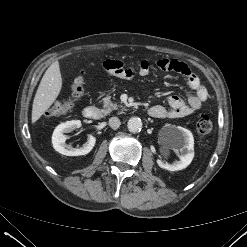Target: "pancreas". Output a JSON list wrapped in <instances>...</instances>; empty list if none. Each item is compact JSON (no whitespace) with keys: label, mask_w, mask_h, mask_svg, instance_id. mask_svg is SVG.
I'll use <instances>...</instances> for the list:
<instances>
[{"label":"pancreas","mask_w":247,"mask_h":247,"mask_svg":"<svg viewBox=\"0 0 247 247\" xmlns=\"http://www.w3.org/2000/svg\"><path fill=\"white\" fill-rule=\"evenodd\" d=\"M103 107H104V112L106 114L110 113L111 111L117 110L118 107H120L122 111L125 110V107L123 105H119L117 103H113L111 101V97L110 96H106L103 99Z\"/></svg>","instance_id":"pancreas-1"}]
</instances>
